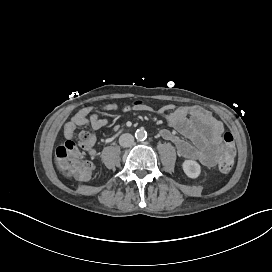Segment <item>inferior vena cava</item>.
<instances>
[{
  "mask_svg": "<svg viewBox=\"0 0 272 272\" xmlns=\"http://www.w3.org/2000/svg\"><path fill=\"white\" fill-rule=\"evenodd\" d=\"M134 143V137L130 133H124L119 138V144L122 147H130Z\"/></svg>",
  "mask_w": 272,
  "mask_h": 272,
  "instance_id": "602c4592",
  "label": "inferior vena cava"
}]
</instances>
